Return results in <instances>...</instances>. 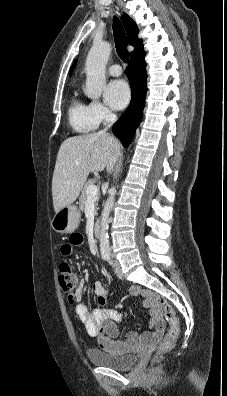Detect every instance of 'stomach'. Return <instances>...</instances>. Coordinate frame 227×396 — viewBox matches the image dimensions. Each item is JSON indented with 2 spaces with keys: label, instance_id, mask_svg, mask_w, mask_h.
<instances>
[{
  "label": "stomach",
  "instance_id": "obj_1",
  "mask_svg": "<svg viewBox=\"0 0 227 396\" xmlns=\"http://www.w3.org/2000/svg\"><path fill=\"white\" fill-rule=\"evenodd\" d=\"M80 222V212L74 205L66 206L56 212L52 219V228L61 234L71 233L77 229Z\"/></svg>",
  "mask_w": 227,
  "mask_h": 396
}]
</instances>
